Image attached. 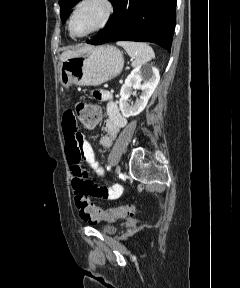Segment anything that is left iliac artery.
Segmentation results:
<instances>
[{"mask_svg":"<svg viewBox=\"0 0 240 288\" xmlns=\"http://www.w3.org/2000/svg\"><path fill=\"white\" fill-rule=\"evenodd\" d=\"M110 169H111V166H110V165H108V166H107V170L109 171Z\"/></svg>","mask_w":240,"mask_h":288,"instance_id":"44dca946","label":"left iliac artery"}]
</instances>
